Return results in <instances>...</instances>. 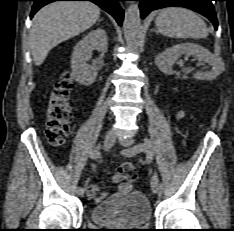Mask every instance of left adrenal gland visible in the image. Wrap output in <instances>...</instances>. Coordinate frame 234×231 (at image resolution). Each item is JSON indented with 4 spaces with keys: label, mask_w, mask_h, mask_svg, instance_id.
Instances as JSON below:
<instances>
[{
    "label": "left adrenal gland",
    "mask_w": 234,
    "mask_h": 231,
    "mask_svg": "<svg viewBox=\"0 0 234 231\" xmlns=\"http://www.w3.org/2000/svg\"><path fill=\"white\" fill-rule=\"evenodd\" d=\"M151 31H152V32H156V33H158V31H157L156 29H152Z\"/></svg>",
    "instance_id": "obj_1"
}]
</instances>
